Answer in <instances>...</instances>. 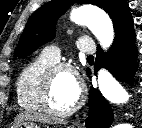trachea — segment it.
Here are the masks:
<instances>
[{
  "mask_svg": "<svg viewBox=\"0 0 142 128\" xmlns=\"http://www.w3.org/2000/svg\"><path fill=\"white\" fill-rule=\"evenodd\" d=\"M93 58H94V57H93V56H91V55L87 57V59H93Z\"/></svg>",
  "mask_w": 142,
  "mask_h": 128,
  "instance_id": "1",
  "label": "trachea"
}]
</instances>
